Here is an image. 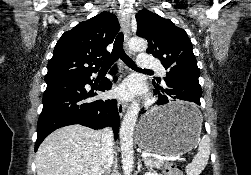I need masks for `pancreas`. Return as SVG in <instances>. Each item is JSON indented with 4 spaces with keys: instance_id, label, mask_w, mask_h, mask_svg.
Instances as JSON below:
<instances>
[{
    "instance_id": "1",
    "label": "pancreas",
    "mask_w": 251,
    "mask_h": 175,
    "mask_svg": "<svg viewBox=\"0 0 251 175\" xmlns=\"http://www.w3.org/2000/svg\"><path fill=\"white\" fill-rule=\"evenodd\" d=\"M144 161L147 167H149V169H159L161 165H165V163H168L166 159H159V157H152V155L144 157Z\"/></svg>"
}]
</instances>
